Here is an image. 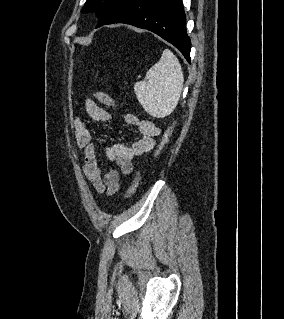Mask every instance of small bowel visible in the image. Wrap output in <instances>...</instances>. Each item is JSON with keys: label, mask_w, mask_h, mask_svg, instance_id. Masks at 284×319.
I'll use <instances>...</instances> for the list:
<instances>
[{"label": "small bowel", "mask_w": 284, "mask_h": 319, "mask_svg": "<svg viewBox=\"0 0 284 319\" xmlns=\"http://www.w3.org/2000/svg\"><path fill=\"white\" fill-rule=\"evenodd\" d=\"M84 108L85 112L96 121L109 122L114 118V114L92 100H86ZM123 119L128 125L138 127L140 137L136 138L131 145L116 143L105 147L106 157L116 165L107 172L99 165L96 146L86 123L81 118L74 120L75 141L85 156L83 173L98 194L111 196L118 192L120 177L129 176L132 173L134 159L151 151L156 144V138L161 133L154 122L141 120L135 114H124Z\"/></svg>", "instance_id": "1"}]
</instances>
